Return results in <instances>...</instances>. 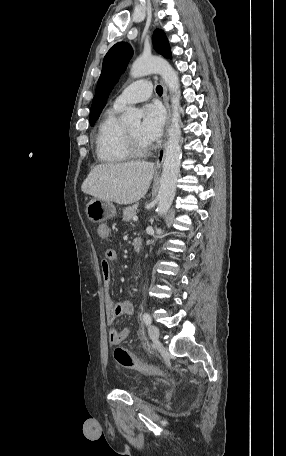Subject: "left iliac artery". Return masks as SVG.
<instances>
[{
  "mask_svg": "<svg viewBox=\"0 0 286 456\" xmlns=\"http://www.w3.org/2000/svg\"><path fill=\"white\" fill-rule=\"evenodd\" d=\"M142 318L146 325H149L151 323V317L148 313L144 312Z\"/></svg>",
  "mask_w": 286,
  "mask_h": 456,
  "instance_id": "left-iliac-artery-1",
  "label": "left iliac artery"
}]
</instances>
